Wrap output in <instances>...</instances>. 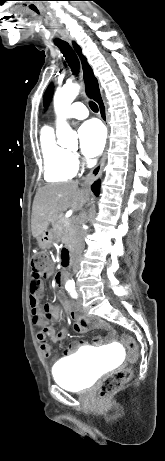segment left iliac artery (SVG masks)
I'll return each mask as SVG.
<instances>
[{"label":"left iliac artery","instance_id":"1","mask_svg":"<svg viewBox=\"0 0 165 461\" xmlns=\"http://www.w3.org/2000/svg\"><path fill=\"white\" fill-rule=\"evenodd\" d=\"M71 296H72L73 298H77V294H76V292H75L73 289H72V291H71Z\"/></svg>","mask_w":165,"mask_h":461}]
</instances>
